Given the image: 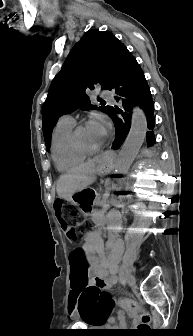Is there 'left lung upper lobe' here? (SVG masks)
I'll return each instance as SVG.
<instances>
[{
	"label": "left lung upper lobe",
	"instance_id": "5c2ea615",
	"mask_svg": "<svg viewBox=\"0 0 193 336\" xmlns=\"http://www.w3.org/2000/svg\"><path fill=\"white\" fill-rule=\"evenodd\" d=\"M125 48L114 35L97 29L88 31L75 44L61 71L54 77L43 103V134L47 150L52 129L60 116L78 108L98 109L110 114L111 107L101 104L97 108L90 103L86 92L96 85H101L102 89L110 88Z\"/></svg>",
	"mask_w": 193,
	"mask_h": 336
}]
</instances>
